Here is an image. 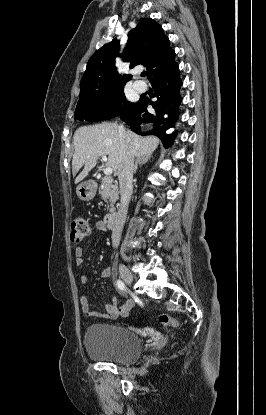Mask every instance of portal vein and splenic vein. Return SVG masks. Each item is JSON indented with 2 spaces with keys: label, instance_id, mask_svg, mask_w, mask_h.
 <instances>
[{
  "label": "portal vein and splenic vein",
  "instance_id": "portal-vein-and-splenic-vein-1",
  "mask_svg": "<svg viewBox=\"0 0 266 415\" xmlns=\"http://www.w3.org/2000/svg\"><path fill=\"white\" fill-rule=\"evenodd\" d=\"M102 160L103 161H107V157H106V155H103L102 156ZM113 173V169H112V167H110V166H107V167H105V169H104V174L106 175V176H109V175H111Z\"/></svg>",
  "mask_w": 266,
  "mask_h": 415
}]
</instances>
